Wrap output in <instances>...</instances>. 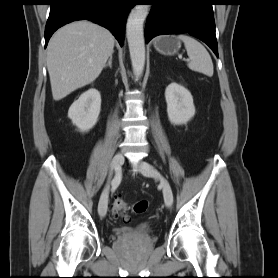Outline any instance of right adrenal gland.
I'll return each instance as SVG.
<instances>
[{
	"label": "right adrenal gland",
	"mask_w": 278,
	"mask_h": 278,
	"mask_svg": "<svg viewBox=\"0 0 278 278\" xmlns=\"http://www.w3.org/2000/svg\"><path fill=\"white\" fill-rule=\"evenodd\" d=\"M104 67H105V68H106V67L112 68V54H111L110 57H109L108 63H107Z\"/></svg>",
	"instance_id": "2a0ac1e0"
}]
</instances>
